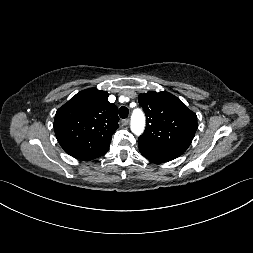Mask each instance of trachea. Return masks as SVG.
Here are the masks:
<instances>
[{"label":"trachea","mask_w":253,"mask_h":253,"mask_svg":"<svg viewBox=\"0 0 253 253\" xmlns=\"http://www.w3.org/2000/svg\"><path fill=\"white\" fill-rule=\"evenodd\" d=\"M129 113V109L125 106L120 107L119 109V116L123 119L127 118Z\"/></svg>","instance_id":"3493384b"}]
</instances>
